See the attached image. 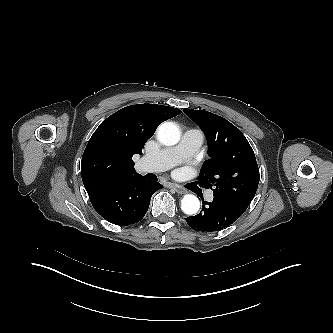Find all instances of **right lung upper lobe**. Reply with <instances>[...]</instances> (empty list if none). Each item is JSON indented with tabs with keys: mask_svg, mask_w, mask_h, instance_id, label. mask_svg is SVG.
Segmentation results:
<instances>
[{
	"mask_svg": "<svg viewBox=\"0 0 333 333\" xmlns=\"http://www.w3.org/2000/svg\"><path fill=\"white\" fill-rule=\"evenodd\" d=\"M181 110L157 104L125 107L104 120L93 133L83 153L82 180L89 197L141 175L132 157L141 154L146 141L160 123Z\"/></svg>",
	"mask_w": 333,
	"mask_h": 333,
	"instance_id": "obj_1",
	"label": "right lung upper lobe"
}]
</instances>
